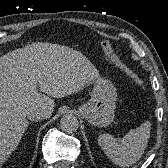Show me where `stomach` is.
<instances>
[{"label": "stomach", "mask_w": 168, "mask_h": 168, "mask_svg": "<svg viewBox=\"0 0 168 168\" xmlns=\"http://www.w3.org/2000/svg\"><path fill=\"white\" fill-rule=\"evenodd\" d=\"M117 91L111 81L99 78L95 81L91 99L79 107V112L89 124L109 126L114 119Z\"/></svg>", "instance_id": "stomach-1"}]
</instances>
